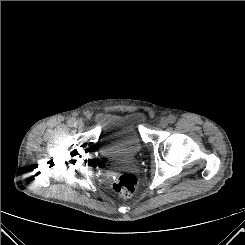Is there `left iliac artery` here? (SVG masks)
<instances>
[{
    "instance_id": "obj_1",
    "label": "left iliac artery",
    "mask_w": 245,
    "mask_h": 245,
    "mask_svg": "<svg viewBox=\"0 0 245 245\" xmlns=\"http://www.w3.org/2000/svg\"><path fill=\"white\" fill-rule=\"evenodd\" d=\"M168 120H169V123H174L175 121H176V117L174 116V115H170L169 117H168Z\"/></svg>"
}]
</instances>
